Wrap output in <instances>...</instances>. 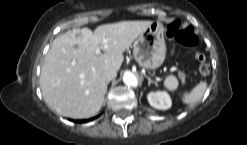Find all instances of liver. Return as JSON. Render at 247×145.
<instances>
[{"label": "liver", "instance_id": "liver-1", "mask_svg": "<svg viewBox=\"0 0 247 145\" xmlns=\"http://www.w3.org/2000/svg\"><path fill=\"white\" fill-rule=\"evenodd\" d=\"M152 23L122 21L100 25L94 32L88 28L72 29L56 37L40 75L46 104L70 118L96 115L107 91L102 71L105 68L118 71L123 52ZM98 48L105 53L97 55Z\"/></svg>", "mask_w": 247, "mask_h": 145}]
</instances>
